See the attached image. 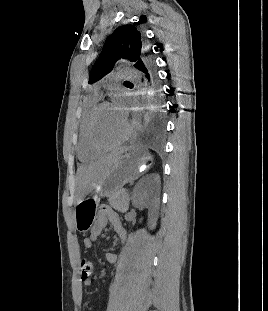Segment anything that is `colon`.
Returning <instances> with one entry per match:
<instances>
[{"label": "colon", "mask_w": 268, "mask_h": 311, "mask_svg": "<svg viewBox=\"0 0 268 311\" xmlns=\"http://www.w3.org/2000/svg\"><path fill=\"white\" fill-rule=\"evenodd\" d=\"M94 271V262L91 259L84 258L81 262V276L88 278Z\"/></svg>", "instance_id": "5ec220e1"}]
</instances>
